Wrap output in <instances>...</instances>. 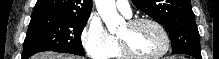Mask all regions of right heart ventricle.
I'll use <instances>...</instances> for the list:
<instances>
[{
	"label": "right heart ventricle",
	"mask_w": 219,
	"mask_h": 59,
	"mask_svg": "<svg viewBox=\"0 0 219 59\" xmlns=\"http://www.w3.org/2000/svg\"><path fill=\"white\" fill-rule=\"evenodd\" d=\"M112 58H122L120 49L118 46L115 47L114 51L112 52L111 56Z\"/></svg>",
	"instance_id": "1"
}]
</instances>
